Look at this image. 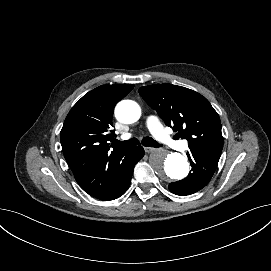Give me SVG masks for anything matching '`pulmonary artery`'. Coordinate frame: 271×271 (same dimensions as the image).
I'll return each mask as SVG.
<instances>
[{
	"label": "pulmonary artery",
	"mask_w": 271,
	"mask_h": 271,
	"mask_svg": "<svg viewBox=\"0 0 271 271\" xmlns=\"http://www.w3.org/2000/svg\"><path fill=\"white\" fill-rule=\"evenodd\" d=\"M149 131L154 135L160 144L170 149H176L177 151H186L188 144L186 142L172 140V137L166 133L161 126L160 120L156 117H151L149 120ZM131 138V134H125L119 137L120 140L125 141Z\"/></svg>",
	"instance_id": "obj_1"
}]
</instances>
